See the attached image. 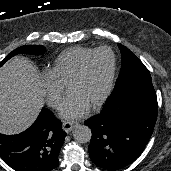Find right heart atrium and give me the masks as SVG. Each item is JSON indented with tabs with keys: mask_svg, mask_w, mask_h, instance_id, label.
<instances>
[{
	"mask_svg": "<svg viewBox=\"0 0 171 171\" xmlns=\"http://www.w3.org/2000/svg\"><path fill=\"white\" fill-rule=\"evenodd\" d=\"M41 86L44 90L47 103L57 108L60 104L64 93V85L49 71H46L41 76Z\"/></svg>",
	"mask_w": 171,
	"mask_h": 171,
	"instance_id": "obj_1",
	"label": "right heart atrium"
}]
</instances>
